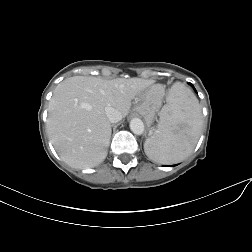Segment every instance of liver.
<instances>
[{"label": "liver", "instance_id": "obj_1", "mask_svg": "<svg viewBox=\"0 0 252 252\" xmlns=\"http://www.w3.org/2000/svg\"><path fill=\"white\" fill-rule=\"evenodd\" d=\"M154 80L73 76L59 83L49 102V139L60 158L74 168H92L107 156L111 124L105 107L126 117L132 100Z\"/></svg>", "mask_w": 252, "mask_h": 252}]
</instances>
